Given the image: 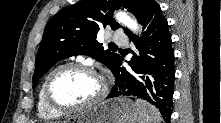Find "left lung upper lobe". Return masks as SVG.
<instances>
[{"label":"left lung upper lobe","mask_w":221,"mask_h":123,"mask_svg":"<svg viewBox=\"0 0 221 123\" xmlns=\"http://www.w3.org/2000/svg\"><path fill=\"white\" fill-rule=\"evenodd\" d=\"M153 0H82L64 8L48 22L36 56L33 88L43 74L61 59L87 55L104 63L110 70L119 58L112 50H104L96 41L100 28L121 26L112 19L115 9L126 8L139 21ZM125 33L130 32L124 28Z\"/></svg>","instance_id":"left-lung-upper-lobe-1"}]
</instances>
